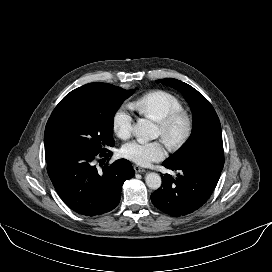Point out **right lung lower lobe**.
<instances>
[{"label": "right lung lower lobe", "instance_id": "right-lung-lower-lobe-1", "mask_svg": "<svg viewBox=\"0 0 272 272\" xmlns=\"http://www.w3.org/2000/svg\"><path fill=\"white\" fill-rule=\"evenodd\" d=\"M112 153L105 150L98 155L69 153L47 161L48 175L60 198L73 211L95 216L113 210L119 203L123 183L135 175L126 159L105 164L97 170L95 160L108 159Z\"/></svg>", "mask_w": 272, "mask_h": 272}]
</instances>
